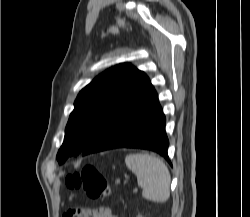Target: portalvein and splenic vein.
Returning a JSON list of instances; mask_svg holds the SVG:
<instances>
[{
    "instance_id": "1",
    "label": "portal vein and splenic vein",
    "mask_w": 250,
    "mask_h": 217,
    "mask_svg": "<svg viewBox=\"0 0 250 217\" xmlns=\"http://www.w3.org/2000/svg\"><path fill=\"white\" fill-rule=\"evenodd\" d=\"M134 192H138V189H137V188H135V189H134Z\"/></svg>"
}]
</instances>
